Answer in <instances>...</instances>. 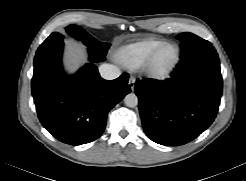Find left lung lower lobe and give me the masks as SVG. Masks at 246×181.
Returning a JSON list of instances; mask_svg holds the SVG:
<instances>
[{"label":"left lung lower lobe","mask_w":246,"mask_h":181,"mask_svg":"<svg viewBox=\"0 0 246 181\" xmlns=\"http://www.w3.org/2000/svg\"><path fill=\"white\" fill-rule=\"evenodd\" d=\"M142 124L154 142L183 145L199 136L216 117L222 77L216 50L207 47L181 56L166 81L136 82Z\"/></svg>","instance_id":"left-lung-lower-lobe-1"}]
</instances>
